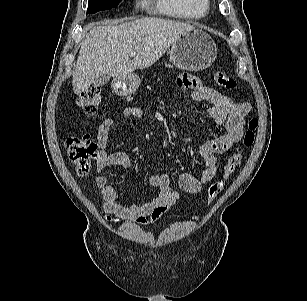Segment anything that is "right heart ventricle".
Here are the masks:
<instances>
[{
    "mask_svg": "<svg viewBox=\"0 0 307 301\" xmlns=\"http://www.w3.org/2000/svg\"><path fill=\"white\" fill-rule=\"evenodd\" d=\"M150 8L169 17L194 20L210 8L209 0H147Z\"/></svg>",
    "mask_w": 307,
    "mask_h": 301,
    "instance_id": "right-heart-ventricle-1",
    "label": "right heart ventricle"
}]
</instances>
